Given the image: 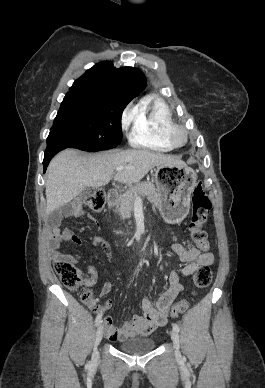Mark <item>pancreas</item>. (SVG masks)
<instances>
[{
	"label": "pancreas",
	"instance_id": "obj_1",
	"mask_svg": "<svg viewBox=\"0 0 265 388\" xmlns=\"http://www.w3.org/2000/svg\"><path fill=\"white\" fill-rule=\"evenodd\" d=\"M137 196H141V198L148 196L154 202L155 206H160L161 204L159 194H157L153 182H138L136 186H130L120 198V206L116 212H119L122 220L124 218H131V212Z\"/></svg>",
	"mask_w": 265,
	"mask_h": 388
}]
</instances>
